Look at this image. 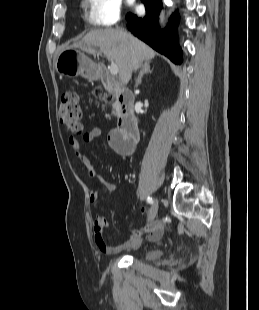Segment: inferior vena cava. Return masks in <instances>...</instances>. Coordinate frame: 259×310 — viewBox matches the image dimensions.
Returning a JSON list of instances; mask_svg holds the SVG:
<instances>
[{"mask_svg": "<svg viewBox=\"0 0 259 310\" xmlns=\"http://www.w3.org/2000/svg\"><path fill=\"white\" fill-rule=\"evenodd\" d=\"M139 61L133 58V69L136 71L139 68Z\"/></svg>", "mask_w": 259, "mask_h": 310, "instance_id": "1", "label": "inferior vena cava"}]
</instances>
